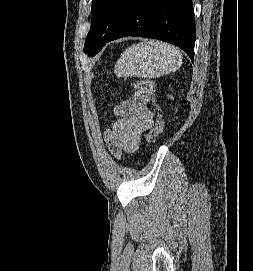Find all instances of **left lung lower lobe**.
<instances>
[{"instance_id": "0a47b994", "label": "left lung lower lobe", "mask_w": 253, "mask_h": 271, "mask_svg": "<svg viewBox=\"0 0 253 271\" xmlns=\"http://www.w3.org/2000/svg\"><path fill=\"white\" fill-rule=\"evenodd\" d=\"M125 36L172 43L194 62L196 31L192 0H131L130 8L106 42Z\"/></svg>"}]
</instances>
